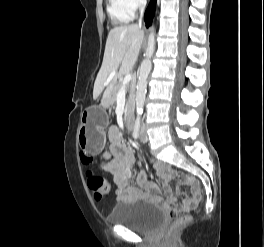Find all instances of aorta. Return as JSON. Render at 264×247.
I'll use <instances>...</instances> for the list:
<instances>
[{"mask_svg":"<svg viewBox=\"0 0 264 247\" xmlns=\"http://www.w3.org/2000/svg\"><path fill=\"white\" fill-rule=\"evenodd\" d=\"M155 51V33L152 29L148 37V45L145 52V59L142 61L140 66V73L136 86V113L137 120L140 119L143 114L146 89H147V78L152 68L151 58Z\"/></svg>","mask_w":264,"mask_h":247,"instance_id":"1","label":"aorta"}]
</instances>
